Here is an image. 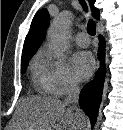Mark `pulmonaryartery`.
<instances>
[{
    "label": "pulmonary artery",
    "mask_w": 123,
    "mask_h": 130,
    "mask_svg": "<svg viewBox=\"0 0 123 130\" xmlns=\"http://www.w3.org/2000/svg\"><path fill=\"white\" fill-rule=\"evenodd\" d=\"M75 42L80 47H87L89 45V37L86 33L80 32L75 36Z\"/></svg>",
    "instance_id": "obj_1"
}]
</instances>
